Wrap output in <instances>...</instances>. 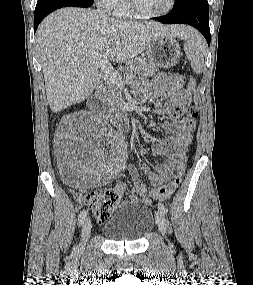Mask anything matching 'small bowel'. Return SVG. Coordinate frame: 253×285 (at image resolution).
<instances>
[{
	"label": "small bowel",
	"instance_id": "c3829d8e",
	"mask_svg": "<svg viewBox=\"0 0 253 285\" xmlns=\"http://www.w3.org/2000/svg\"><path fill=\"white\" fill-rule=\"evenodd\" d=\"M133 92L143 100L152 101L154 98L164 96L168 98V105L164 109L153 108L151 112L155 115L171 116L172 121L162 124V127L171 132L164 138L163 144H153L151 153L161 161L152 170L144 164L142 170L148 177L151 185L160 188L169 181L173 172L180 167L181 161L186 156L188 146L191 144V132L195 128V120L184 115V106L188 100V91L183 89L182 77L178 74H158L150 79H143L136 83ZM66 152V146H62ZM129 173L133 183V194L129 196L132 203L148 205L153 200H166L171 193H155L148 191L146 184L139 181V175L134 166L129 167ZM126 189L124 182L116 183L114 190L120 194Z\"/></svg>",
	"mask_w": 253,
	"mask_h": 285
}]
</instances>
